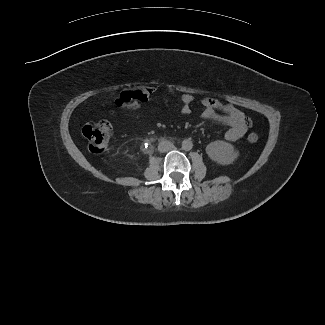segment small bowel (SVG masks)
Wrapping results in <instances>:
<instances>
[{
	"label": "small bowel",
	"instance_id": "obj_1",
	"mask_svg": "<svg viewBox=\"0 0 325 325\" xmlns=\"http://www.w3.org/2000/svg\"><path fill=\"white\" fill-rule=\"evenodd\" d=\"M155 92L156 89L154 87H142L127 91L117 97L116 104L124 110L141 111L144 104ZM170 93L175 94V91L171 90ZM192 102V95L188 93L181 94L179 113L183 116L189 115ZM200 104L202 106L200 117L204 121L228 126V130L225 133L227 141L235 142L241 139L251 125V121L245 114L231 104L224 105L214 98H204L200 101ZM110 114L116 116L115 111H111Z\"/></svg>",
	"mask_w": 325,
	"mask_h": 325
}]
</instances>
